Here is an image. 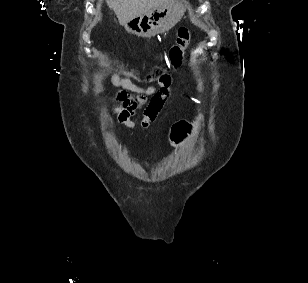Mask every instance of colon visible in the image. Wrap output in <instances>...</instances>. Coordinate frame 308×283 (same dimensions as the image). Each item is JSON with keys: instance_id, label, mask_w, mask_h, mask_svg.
I'll use <instances>...</instances> for the list:
<instances>
[{"instance_id": "1", "label": "colon", "mask_w": 308, "mask_h": 283, "mask_svg": "<svg viewBox=\"0 0 308 283\" xmlns=\"http://www.w3.org/2000/svg\"><path fill=\"white\" fill-rule=\"evenodd\" d=\"M191 39L189 29L181 27L176 34L174 45L170 48L166 59L167 69L177 68L181 65L184 53ZM165 68H157L154 76L164 85H171L172 79ZM196 124L194 121L182 120L175 123L171 128V142L174 146L182 144L194 131Z\"/></svg>"}]
</instances>
